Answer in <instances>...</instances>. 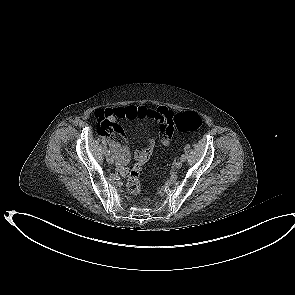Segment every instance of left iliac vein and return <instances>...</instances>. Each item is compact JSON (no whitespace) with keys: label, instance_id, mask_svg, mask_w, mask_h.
I'll use <instances>...</instances> for the list:
<instances>
[{"label":"left iliac vein","instance_id":"1","mask_svg":"<svg viewBox=\"0 0 295 295\" xmlns=\"http://www.w3.org/2000/svg\"><path fill=\"white\" fill-rule=\"evenodd\" d=\"M182 164H183V161L181 159L177 160V162L175 163V168L180 169L182 167Z\"/></svg>","mask_w":295,"mask_h":295}]
</instances>
